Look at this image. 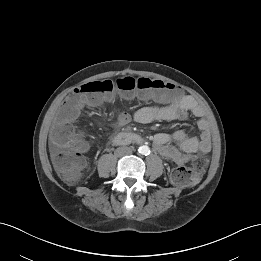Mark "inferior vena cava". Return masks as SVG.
Masks as SVG:
<instances>
[{
  "label": "inferior vena cava",
  "instance_id": "obj_1",
  "mask_svg": "<svg viewBox=\"0 0 261 261\" xmlns=\"http://www.w3.org/2000/svg\"><path fill=\"white\" fill-rule=\"evenodd\" d=\"M133 151V147H119L116 150V153L120 156L122 155H129Z\"/></svg>",
  "mask_w": 261,
  "mask_h": 261
}]
</instances>
